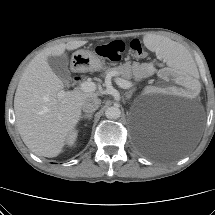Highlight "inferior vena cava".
<instances>
[{
  "label": "inferior vena cava",
  "mask_w": 215,
  "mask_h": 215,
  "mask_svg": "<svg viewBox=\"0 0 215 215\" xmlns=\"http://www.w3.org/2000/svg\"><path fill=\"white\" fill-rule=\"evenodd\" d=\"M100 104L101 100L98 97H91L83 102L82 110L86 113H92L99 108Z\"/></svg>",
  "instance_id": "1"
}]
</instances>
